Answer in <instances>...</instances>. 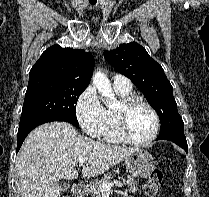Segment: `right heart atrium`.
Listing matches in <instances>:
<instances>
[{
    "mask_svg": "<svg viewBox=\"0 0 209 197\" xmlns=\"http://www.w3.org/2000/svg\"><path fill=\"white\" fill-rule=\"evenodd\" d=\"M76 116L82 129L91 137H99L106 121V108L95 89L88 86L77 98Z\"/></svg>",
    "mask_w": 209,
    "mask_h": 197,
    "instance_id": "d8ad5b80",
    "label": "right heart atrium"
}]
</instances>
